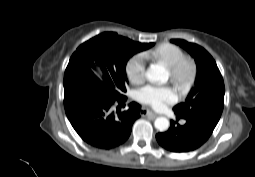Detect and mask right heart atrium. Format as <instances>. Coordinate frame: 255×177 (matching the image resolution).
Segmentation results:
<instances>
[{"instance_id": "1", "label": "right heart atrium", "mask_w": 255, "mask_h": 177, "mask_svg": "<svg viewBox=\"0 0 255 177\" xmlns=\"http://www.w3.org/2000/svg\"><path fill=\"white\" fill-rule=\"evenodd\" d=\"M147 60L146 57L141 54L133 55L126 63V74L129 80L134 84L141 83L146 75Z\"/></svg>"}]
</instances>
